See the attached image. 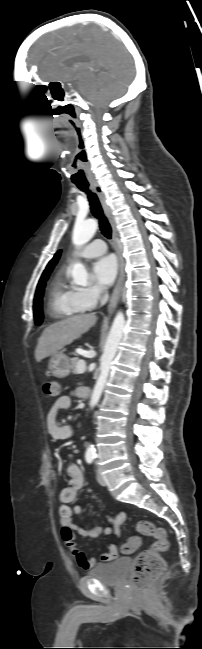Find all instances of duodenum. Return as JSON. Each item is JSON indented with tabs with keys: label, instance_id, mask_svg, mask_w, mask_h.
I'll return each instance as SVG.
<instances>
[{
	"label": "duodenum",
	"instance_id": "410a0bca",
	"mask_svg": "<svg viewBox=\"0 0 202 649\" xmlns=\"http://www.w3.org/2000/svg\"><path fill=\"white\" fill-rule=\"evenodd\" d=\"M83 390H84V393H83V396H84V397H87V396L90 395L91 392H90L89 389H87V388H83Z\"/></svg>",
	"mask_w": 202,
	"mask_h": 649
}]
</instances>
